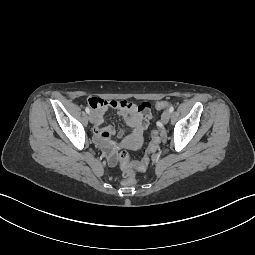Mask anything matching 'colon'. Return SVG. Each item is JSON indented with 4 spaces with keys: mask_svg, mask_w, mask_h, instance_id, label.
Masks as SVG:
<instances>
[{
    "mask_svg": "<svg viewBox=\"0 0 255 255\" xmlns=\"http://www.w3.org/2000/svg\"><path fill=\"white\" fill-rule=\"evenodd\" d=\"M167 105H168L167 102L160 101L156 103V108L163 109ZM159 143H160L159 131L154 130L152 141L146 150V155L139 164H135L134 162L130 161L129 156L126 152H120L118 154L117 160L123 172V179L121 182L123 186L132 187L136 184L137 171H143L147 168L149 163V156L157 150Z\"/></svg>",
    "mask_w": 255,
    "mask_h": 255,
    "instance_id": "1",
    "label": "colon"
}]
</instances>
